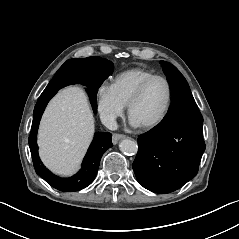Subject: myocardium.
Segmentation results:
<instances>
[{
  "mask_svg": "<svg viewBox=\"0 0 239 239\" xmlns=\"http://www.w3.org/2000/svg\"><path fill=\"white\" fill-rule=\"evenodd\" d=\"M156 80H162L165 82L166 86H167V92H168V96H167V102L164 108V111L162 112V114L153 122L147 123V124H142L139 125L141 129L143 130H152L158 126H160L168 117L169 112L171 110V106H172V101H173V89H172V85L170 83V81L162 75H154L152 77H149L148 79H146L138 88L137 90L134 92V94L131 96L128 104H127V111L130 117H132V111L133 108L135 107V105L139 102V100L141 99V97L143 96L144 92L146 91V89L148 88V86L156 81Z\"/></svg>",
  "mask_w": 239,
  "mask_h": 239,
  "instance_id": "myocardium-1",
  "label": "myocardium"
}]
</instances>
